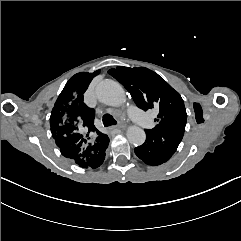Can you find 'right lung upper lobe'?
<instances>
[{"label":"right lung upper lobe","instance_id":"obj_1","mask_svg":"<svg viewBox=\"0 0 241 241\" xmlns=\"http://www.w3.org/2000/svg\"><path fill=\"white\" fill-rule=\"evenodd\" d=\"M99 72H81L70 78L50 116L52 137L61 154L78 164L89 157L84 152L96 150L95 144L107 138L94 126L95 111L83 102L84 92Z\"/></svg>","mask_w":241,"mask_h":241}]
</instances>
